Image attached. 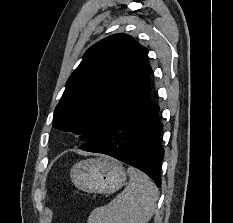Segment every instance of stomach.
Returning a JSON list of instances; mask_svg holds the SVG:
<instances>
[{
  "instance_id": "stomach-1",
  "label": "stomach",
  "mask_w": 233,
  "mask_h": 223,
  "mask_svg": "<svg viewBox=\"0 0 233 223\" xmlns=\"http://www.w3.org/2000/svg\"><path fill=\"white\" fill-rule=\"evenodd\" d=\"M70 177L76 187L88 193H113L125 185L127 173L116 159L98 157L75 163Z\"/></svg>"
}]
</instances>
